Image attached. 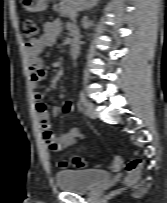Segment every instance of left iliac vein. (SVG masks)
I'll return each mask as SVG.
<instances>
[{
  "instance_id": "obj_1",
  "label": "left iliac vein",
  "mask_w": 167,
  "mask_h": 203,
  "mask_svg": "<svg viewBox=\"0 0 167 203\" xmlns=\"http://www.w3.org/2000/svg\"><path fill=\"white\" fill-rule=\"evenodd\" d=\"M85 107L87 115L90 118L94 119L96 117L95 105L91 102H87Z\"/></svg>"
}]
</instances>
